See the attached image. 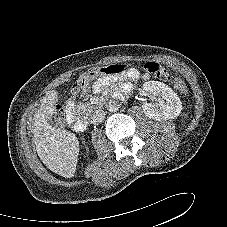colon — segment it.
I'll return each instance as SVG.
<instances>
[{"label": "colon", "instance_id": "1", "mask_svg": "<svg viewBox=\"0 0 227 227\" xmlns=\"http://www.w3.org/2000/svg\"><path fill=\"white\" fill-rule=\"evenodd\" d=\"M123 65H109L105 67L92 68L80 75L72 86L74 94H83L88 90L90 82L98 77H112L124 70ZM144 70L148 75H152L161 80H167L170 74L167 69L155 61H148L144 64Z\"/></svg>", "mask_w": 227, "mask_h": 227}]
</instances>
